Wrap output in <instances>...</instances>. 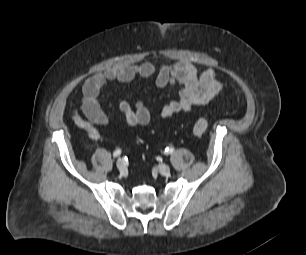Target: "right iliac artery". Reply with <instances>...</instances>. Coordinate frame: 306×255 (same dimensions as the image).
<instances>
[{
    "instance_id": "1",
    "label": "right iliac artery",
    "mask_w": 306,
    "mask_h": 255,
    "mask_svg": "<svg viewBox=\"0 0 306 255\" xmlns=\"http://www.w3.org/2000/svg\"><path fill=\"white\" fill-rule=\"evenodd\" d=\"M121 154V149H117L114 151L113 156L118 157Z\"/></svg>"
}]
</instances>
